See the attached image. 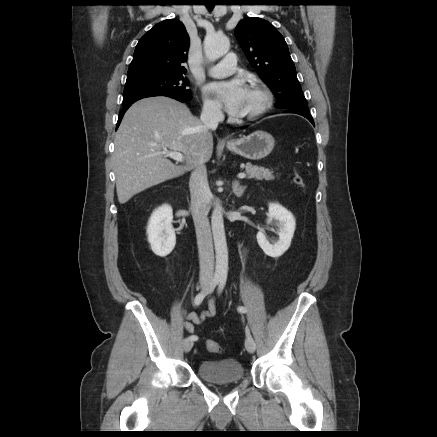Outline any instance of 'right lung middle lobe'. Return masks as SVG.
I'll return each instance as SVG.
<instances>
[{
  "label": "right lung middle lobe",
  "mask_w": 437,
  "mask_h": 437,
  "mask_svg": "<svg viewBox=\"0 0 437 437\" xmlns=\"http://www.w3.org/2000/svg\"><path fill=\"white\" fill-rule=\"evenodd\" d=\"M123 105L152 96H172L189 99L190 83L181 73L159 71L128 72Z\"/></svg>",
  "instance_id": "dd1d6c3e"
}]
</instances>
